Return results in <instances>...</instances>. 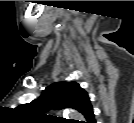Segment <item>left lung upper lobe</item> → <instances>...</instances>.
I'll list each match as a JSON object with an SVG mask.
<instances>
[{"label":"left lung upper lobe","mask_w":134,"mask_h":123,"mask_svg":"<svg viewBox=\"0 0 134 123\" xmlns=\"http://www.w3.org/2000/svg\"><path fill=\"white\" fill-rule=\"evenodd\" d=\"M73 108L84 115L88 123L94 121L93 108L87 92L76 82H56L42 93L41 97L24 105V110L37 116L50 109Z\"/></svg>","instance_id":"1"}]
</instances>
